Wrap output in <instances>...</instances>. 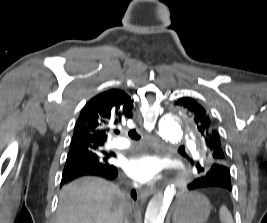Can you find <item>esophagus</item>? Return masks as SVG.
<instances>
[{"mask_svg":"<svg viewBox=\"0 0 267 223\" xmlns=\"http://www.w3.org/2000/svg\"><path fill=\"white\" fill-rule=\"evenodd\" d=\"M150 146L152 147L154 152L158 155H160L161 153H163L167 150V146L158 136H152L150 138ZM154 192H155L154 188L141 191V193H140L141 202H145L146 199Z\"/></svg>","mask_w":267,"mask_h":223,"instance_id":"34e87169","label":"esophagus"}]
</instances>
